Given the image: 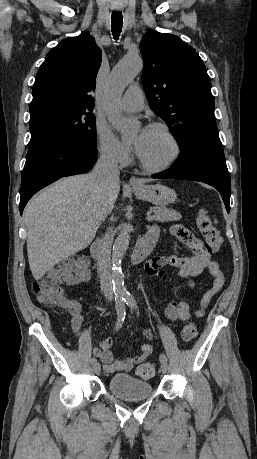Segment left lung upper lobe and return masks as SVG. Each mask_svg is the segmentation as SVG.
I'll use <instances>...</instances> for the list:
<instances>
[{"label": "left lung upper lobe", "mask_w": 257, "mask_h": 459, "mask_svg": "<svg viewBox=\"0 0 257 459\" xmlns=\"http://www.w3.org/2000/svg\"><path fill=\"white\" fill-rule=\"evenodd\" d=\"M140 51L142 85L149 106L170 126L181 153H185L195 133L216 126L206 67L186 42L155 30L144 34Z\"/></svg>", "instance_id": "left-lung-upper-lobe-1"}]
</instances>
